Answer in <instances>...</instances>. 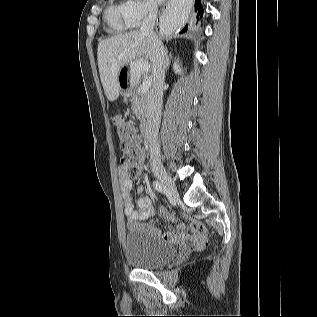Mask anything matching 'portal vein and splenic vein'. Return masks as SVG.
<instances>
[{"instance_id": "1", "label": "portal vein and splenic vein", "mask_w": 317, "mask_h": 317, "mask_svg": "<svg viewBox=\"0 0 317 317\" xmlns=\"http://www.w3.org/2000/svg\"><path fill=\"white\" fill-rule=\"evenodd\" d=\"M145 67H146V64L143 62L139 63V65H138L139 70H142ZM150 86H151V79L149 78V79H146L145 81H143L140 91L147 92L149 90Z\"/></svg>"}]
</instances>
